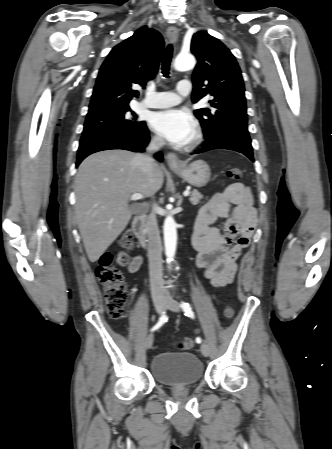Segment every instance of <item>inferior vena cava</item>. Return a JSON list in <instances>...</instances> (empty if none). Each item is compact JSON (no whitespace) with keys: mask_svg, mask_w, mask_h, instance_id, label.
I'll return each instance as SVG.
<instances>
[{"mask_svg":"<svg viewBox=\"0 0 332 449\" xmlns=\"http://www.w3.org/2000/svg\"><path fill=\"white\" fill-rule=\"evenodd\" d=\"M164 144L163 139L154 138L146 148V153L137 154L134 158L143 173L149 178L152 177L155 166L152 154L158 151ZM146 232L148 235L150 285L152 295L155 296L162 294L164 289L162 279V243L154 210L147 218Z\"/></svg>","mask_w":332,"mask_h":449,"instance_id":"602c4592","label":"inferior vena cava"}]
</instances>
